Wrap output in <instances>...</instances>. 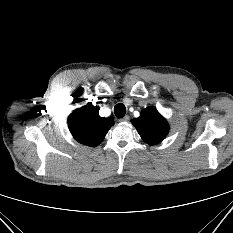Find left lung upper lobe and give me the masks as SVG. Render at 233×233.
Returning <instances> with one entry per match:
<instances>
[{
  "label": "left lung upper lobe",
  "mask_w": 233,
  "mask_h": 233,
  "mask_svg": "<svg viewBox=\"0 0 233 233\" xmlns=\"http://www.w3.org/2000/svg\"><path fill=\"white\" fill-rule=\"evenodd\" d=\"M132 124L136 127L142 139L148 144L160 143L168 134V123L156 108L147 107L140 117L134 118Z\"/></svg>",
  "instance_id": "5c2ea615"
}]
</instances>
